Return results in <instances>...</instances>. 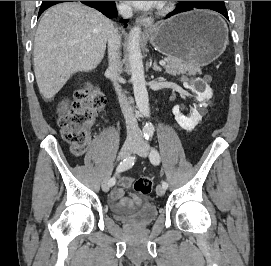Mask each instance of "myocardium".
<instances>
[{"mask_svg":"<svg viewBox=\"0 0 271 266\" xmlns=\"http://www.w3.org/2000/svg\"><path fill=\"white\" fill-rule=\"evenodd\" d=\"M168 9H169V7L166 6V5H161V6H160V10L163 11V12H164V11H167Z\"/></svg>","mask_w":271,"mask_h":266,"instance_id":"1","label":"myocardium"}]
</instances>
